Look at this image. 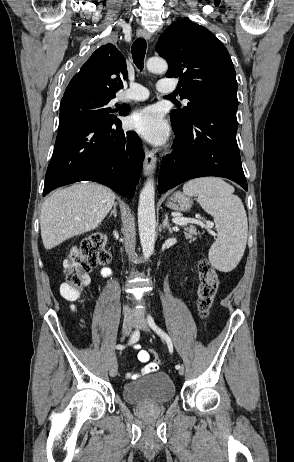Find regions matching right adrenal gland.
<instances>
[{
    "instance_id": "2a0ac1e0",
    "label": "right adrenal gland",
    "mask_w": 294,
    "mask_h": 462,
    "mask_svg": "<svg viewBox=\"0 0 294 462\" xmlns=\"http://www.w3.org/2000/svg\"><path fill=\"white\" fill-rule=\"evenodd\" d=\"M111 216L117 217V202L114 203L113 210L109 214V217Z\"/></svg>"
}]
</instances>
